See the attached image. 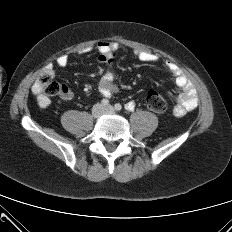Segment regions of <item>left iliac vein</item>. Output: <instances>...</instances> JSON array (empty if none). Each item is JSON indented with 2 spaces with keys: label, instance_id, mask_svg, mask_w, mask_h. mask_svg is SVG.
Returning <instances> with one entry per match:
<instances>
[{
  "label": "left iliac vein",
  "instance_id": "4c4485c4",
  "mask_svg": "<svg viewBox=\"0 0 232 232\" xmlns=\"http://www.w3.org/2000/svg\"><path fill=\"white\" fill-rule=\"evenodd\" d=\"M104 113H106V114H114L115 109L112 106H107V107L104 108Z\"/></svg>",
  "mask_w": 232,
  "mask_h": 232
}]
</instances>
